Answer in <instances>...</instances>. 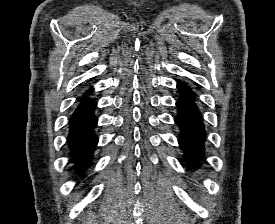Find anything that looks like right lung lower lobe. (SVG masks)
I'll list each match as a JSON object with an SVG mask.
<instances>
[{
    "instance_id": "obj_1",
    "label": "right lung lower lobe",
    "mask_w": 275,
    "mask_h": 224,
    "mask_svg": "<svg viewBox=\"0 0 275 224\" xmlns=\"http://www.w3.org/2000/svg\"><path fill=\"white\" fill-rule=\"evenodd\" d=\"M96 104L83 95L69 121L68 147L73 169L83 176L91 165V158L98 138L94 133L97 118L94 116Z\"/></svg>"
}]
</instances>
